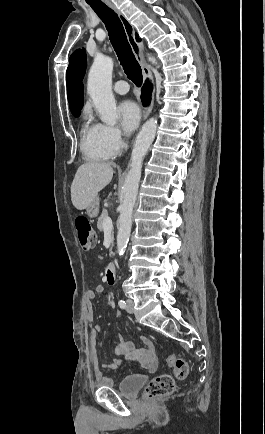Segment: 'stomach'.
Returning a JSON list of instances; mask_svg holds the SVG:
<instances>
[{
  "mask_svg": "<svg viewBox=\"0 0 265 434\" xmlns=\"http://www.w3.org/2000/svg\"><path fill=\"white\" fill-rule=\"evenodd\" d=\"M99 212V198H94L87 208V214L90 218H95Z\"/></svg>",
  "mask_w": 265,
  "mask_h": 434,
  "instance_id": "obj_1",
  "label": "stomach"
}]
</instances>
